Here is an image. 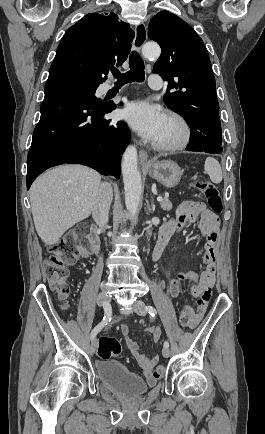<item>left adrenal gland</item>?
I'll use <instances>...</instances> for the list:
<instances>
[{
	"label": "left adrenal gland",
	"mask_w": 265,
	"mask_h": 434,
	"mask_svg": "<svg viewBox=\"0 0 265 434\" xmlns=\"http://www.w3.org/2000/svg\"><path fill=\"white\" fill-rule=\"evenodd\" d=\"M151 206H152V210L154 212V210H155V204H154V202H152Z\"/></svg>",
	"instance_id": "1"
}]
</instances>
